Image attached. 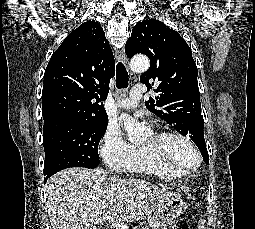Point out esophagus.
<instances>
[{
    "mask_svg": "<svg viewBox=\"0 0 255 229\" xmlns=\"http://www.w3.org/2000/svg\"><path fill=\"white\" fill-rule=\"evenodd\" d=\"M115 56L117 60L121 61L128 68L129 62L123 48L115 49ZM130 76H133L132 73H130Z\"/></svg>",
    "mask_w": 255,
    "mask_h": 229,
    "instance_id": "1",
    "label": "esophagus"
}]
</instances>
